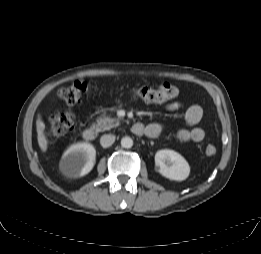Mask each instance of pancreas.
<instances>
[{
  "label": "pancreas",
  "instance_id": "obj_1",
  "mask_svg": "<svg viewBox=\"0 0 261 254\" xmlns=\"http://www.w3.org/2000/svg\"><path fill=\"white\" fill-rule=\"evenodd\" d=\"M120 124L119 118H110L106 116H101L96 120V124L94 125L97 131H106L110 130L113 127H117Z\"/></svg>",
  "mask_w": 261,
  "mask_h": 254
}]
</instances>
